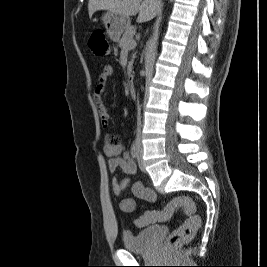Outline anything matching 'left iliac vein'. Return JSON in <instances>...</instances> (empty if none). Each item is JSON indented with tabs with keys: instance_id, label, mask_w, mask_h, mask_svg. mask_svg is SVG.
I'll use <instances>...</instances> for the list:
<instances>
[{
	"instance_id": "4c4485c4",
	"label": "left iliac vein",
	"mask_w": 267,
	"mask_h": 267,
	"mask_svg": "<svg viewBox=\"0 0 267 267\" xmlns=\"http://www.w3.org/2000/svg\"><path fill=\"white\" fill-rule=\"evenodd\" d=\"M138 164H139L140 170L145 172V166H144L143 159H142V150H141V148H139V152H138Z\"/></svg>"
}]
</instances>
